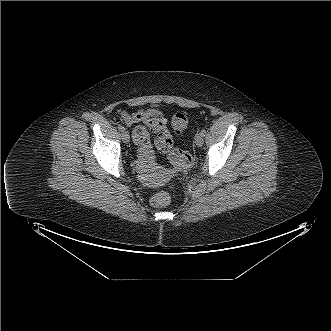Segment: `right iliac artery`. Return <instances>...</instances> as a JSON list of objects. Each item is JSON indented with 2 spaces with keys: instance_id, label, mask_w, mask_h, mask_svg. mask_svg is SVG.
<instances>
[{
  "instance_id": "obj_1",
  "label": "right iliac artery",
  "mask_w": 331,
  "mask_h": 331,
  "mask_svg": "<svg viewBox=\"0 0 331 331\" xmlns=\"http://www.w3.org/2000/svg\"><path fill=\"white\" fill-rule=\"evenodd\" d=\"M118 129H119L121 132L125 130L124 127H123L122 125H118Z\"/></svg>"
}]
</instances>
